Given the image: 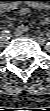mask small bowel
Masks as SVG:
<instances>
[{
  "mask_svg": "<svg viewBox=\"0 0 50 111\" xmlns=\"http://www.w3.org/2000/svg\"><path fill=\"white\" fill-rule=\"evenodd\" d=\"M15 11L18 13V14H21V15H25V14H28L29 13V9L27 7H24V6H19V7H16L15 8ZM48 18H45L41 21L42 24H46L48 23ZM28 25L27 24H22L20 25L16 31H15V34L17 36H20L22 35L23 33L27 32L28 31Z\"/></svg>",
  "mask_w": 50,
  "mask_h": 111,
  "instance_id": "small-bowel-1",
  "label": "small bowel"
}]
</instances>
